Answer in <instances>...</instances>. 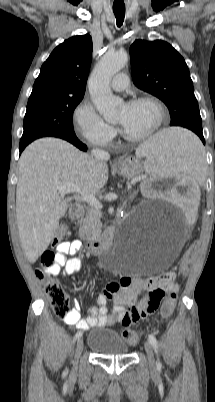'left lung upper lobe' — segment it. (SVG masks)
Instances as JSON below:
<instances>
[{"mask_svg":"<svg viewBox=\"0 0 215 402\" xmlns=\"http://www.w3.org/2000/svg\"><path fill=\"white\" fill-rule=\"evenodd\" d=\"M134 84L159 99L170 111V126L202 134V119L184 58L167 42L136 40L130 47Z\"/></svg>","mask_w":215,"mask_h":402,"instance_id":"5c2ea615","label":"left lung upper lobe"}]
</instances>
